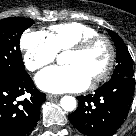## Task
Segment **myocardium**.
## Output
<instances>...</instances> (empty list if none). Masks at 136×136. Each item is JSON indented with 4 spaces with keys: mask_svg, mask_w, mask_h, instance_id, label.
I'll return each instance as SVG.
<instances>
[{
    "mask_svg": "<svg viewBox=\"0 0 136 136\" xmlns=\"http://www.w3.org/2000/svg\"><path fill=\"white\" fill-rule=\"evenodd\" d=\"M98 41H104L107 44L109 59L103 71L90 81V86L92 87L106 80L111 74L115 65L116 49L111 38L104 34H96L80 40L67 50V53H82Z\"/></svg>",
    "mask_w": 136,
    "mask_h": 136,
    "instance_id": "f54148a6",
    "label": "myocardium"
}]
</instances>
